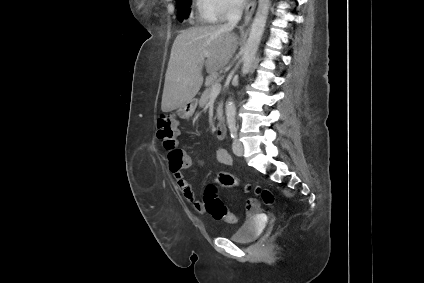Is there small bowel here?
<instances>
[{
  "mask_svg": "<svg viewBox=\"0 0 424 283\" xmlns=\"http://www.w3.org/2000/svg\"><path fill=\"white\" fill-rule=\"evenodd\" d=\"M188 159H189V166L188 167H190L192 165V160L189 156H188ZM216 160H217L218 163H220L224 166H231L232 162H233L231 155L224 148H219L216 151ZM197 165L199 167H201L203 165V162L198 161ZM172 174H173V177L175 179V182H176L178 189L183 194L186 201L188 203H190L196 211H198L199 213H204L205 212L204 204L196 198L191 184L185 178L182 171L179 170L177 172H172Z\"/></svg>",
  "mask_w": 424,
  "mask_h": 283,
  "instance_id": "1",
  "label": "small bowel"
}]
</instances>
